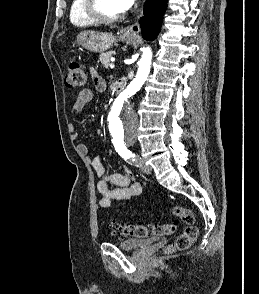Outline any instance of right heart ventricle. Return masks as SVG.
I'll return each mask as SVG.
<instances>
[{
	"mask_svg": "<svg viewBox=\"0 0 259 294\" xmlns=\"http://www.w3.org/2000/svg\"><path fill=\"white\" fill-rule=\"evenodd\" d=\"M69 18L75 27H87L94 23L84 12V0H72Z\"/></svg>",
	"mask_w": 259,
	"mask_h": 294,
	"instance_id": "1",
	"label": "right heart ventricle"
}]
</instances>
